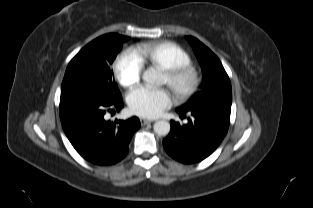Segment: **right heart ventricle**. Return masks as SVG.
<instances>
[{
    "mask_svg": "<svg viewBox=\"0 0 313 208\" xmlns=\"http://www.w3.org/2000/svg\"><path fill=\"white\" fill-rule=\"evenodd\" d=\"M143 64L162 70L189 64L191 57L180 45L171 41H157L138 46L135 50Z\"/></svg>",
    "mask_w": 313,
    "mask_h": 208,
    "instance_id": "e07e8e85",
    "label": "right heart ventricle"
}]
</instances>
